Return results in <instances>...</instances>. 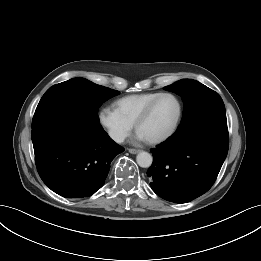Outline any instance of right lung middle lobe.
Returning a JSON list of instances; mask_svg holds the SVG:
<instances>
[{"mask_svg":"<svg viewBox=\"0 0 261 261\" xmlns=\"http://www.w3.org/2000/svg\"><path fill=\"white\" fill-rule=\"evenodd\" d=\"M119 92L94 84L84 78H73L50 87L41 98L32 125L57 116H77L99 123L98 108Z\"/></svg>","mask_w":261,"mask_h":261,"instance_id":"obj_1","label":"right lung middle lobe"}]
</instances>
